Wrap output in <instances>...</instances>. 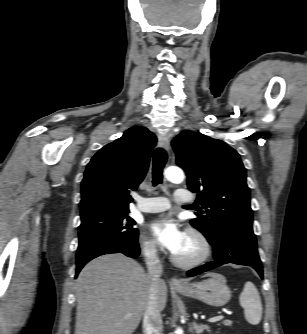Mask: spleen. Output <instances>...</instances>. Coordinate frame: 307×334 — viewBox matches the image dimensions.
Wrapping results in <instances>:
<instances>
[{
  "instance_id": "obj_1",
  "label": "spleen",
  "mask_w": 307,
  "mask_h": 334,
  "mask_svg": "<svg viewBox=\"0 0 307 334\" xmlns=\"http://www.w3.org/2000/svg\"><path fill=\"white\" fill-rule=\"evenodd\" d=\"M240 305L244 308L248 323L257 325L262 318V303L255 285L248 281L239 297Z\"/></svg>"
}]
</instances>
